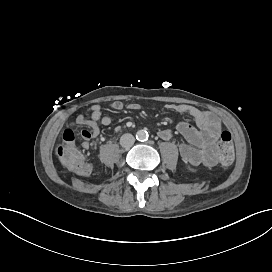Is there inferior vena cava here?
Returning a JSON list of instances; mask_svg holds the SVG:
<instances>
[{"label":"inferior vena cava","instance_id":"obj_1","mask_svg":"<svg viewBox=\"0 0 272 272\" xmlns=\"http://www.w3.org/2000/svg\"><path fill=\"white\" fill-rule=\"evenodd\" d=\"M135 138L130 133H125L120 138V145L124 148H130L133 146Z\"/></svg>","mask_w":272,"mask_h":272}]
</instances>
